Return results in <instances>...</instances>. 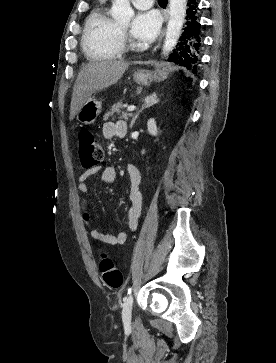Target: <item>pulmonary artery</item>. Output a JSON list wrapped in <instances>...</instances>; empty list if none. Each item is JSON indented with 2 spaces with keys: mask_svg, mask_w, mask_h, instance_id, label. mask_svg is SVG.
Returning a JSON list of instances; mask_svg holds the SVG:
<instances>
[{
  "mask_svg": "<svg viewBox=\"0 0 276 363\" xmlns=\"http://www.w3.org/2000/svg\"><path fill=\"white\" fill-rule=\"evenodd\" d=\"M133 5L141 10H146L153 5V0H131Z\"/></svg>",
  "mask_w": 276,
  "mask_h": 363,
  "instance_id": "pulmonary-artery-1",
  "label": "pulmonary artery"
}]
</instances>
